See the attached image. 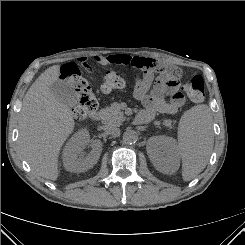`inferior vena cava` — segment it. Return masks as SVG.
Wrapping results in <instances>:
<instances>
[{
	"label": "inferior vena cava",
	"instance_id": "obj_1",
	"mask_svg": "<svg viewBox=\"0 0 245 245\" xmlns=\"http://www.w3.org/2000/svg\"><path fill=\"white\" fill-rule=\"evenodd\" d=\"M105 130L108 134H111L113 136H119L120 135V129L117 127L107 126Z\"/></svg>",
	"mask_w": 245,
	"mask_h": 245
}]
</instances>
